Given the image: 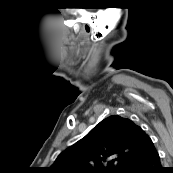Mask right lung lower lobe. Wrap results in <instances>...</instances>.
I'll list each match as a JSON object with an SVG mask.
<instances>
[{
	"label": "right lung lower lobe",
	"instance_id": "obj_1",
	"mask_svg": "<svg viewBox=\"0 0 173 173\" xmlns=\"http://www.w3.org/2000/svg\"><path fill=\"white\" fill-rule=\"evenodd\" d=\"M160 165V157L154 147L128 162L120 173H164L165 170Z\"/></svg>",
	"mask_w": 173,
	"mask_h": 173
}]
</instances>
